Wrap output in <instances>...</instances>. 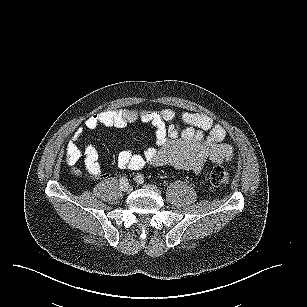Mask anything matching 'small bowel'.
I'll return each instance as SVG.
<instances>
[{"label": "small bowel", "mask_w": 307, "mask_h": 307, "mask_svg": "<svg viewBox=\"0 0 307 307\" xmlns=\"http://www.w3.org/2000/svg\"><path fill=\"white\" fill-rule=\"evenodd\" d=\"M136 121L155 128L156 146L143 153H135L131 149L120 151L116 158L120 169L138 170L147 164L168 165L199 174L208 162L220 164L234 157L232 146L225 143L224 127L205 113H183L177 118L169 108L159 111L120 109L90 116L85 121V127L90 130L99 127L123 128ZM179 122L185 127H181ZM82 135V130H76L67 143L66 161L70 165L82 156L79 147ZM83 155L88 173L94 177L100 176L101 166L96 148L88 145Z\"/></svg>", "instance_id": "obj_1"}]
</instances>
